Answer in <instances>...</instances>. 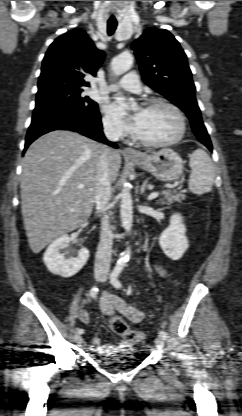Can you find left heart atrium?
Listing matches in <instances>:
<instances>
[{"label": "left heart atrium", "mask_w": 242, "mask_h": 416, "mask_svg": "<svg viewBox=\"0 0 242 416\" xmlns=\"http://www.w3.org/2000/svg\"><path fill=\"white\" fill-rule=\"evenodd\" d=\"M107 109L116 118L126 121V127L128 129L135 130L137 122L136 115L129 117L127 115L125 107L121 103L114 102L111 105H109Z\"/></svg>", "instance_id": "obj_1"}]
</instances>
